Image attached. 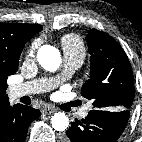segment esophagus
Listing matches in <instances>:
<instances>
[{
    "label": "esophagus",
    "mask_w": 142,
    "mask_h": 142,
    "mask_svg": "<svg viewBox=\"0 0 142 142\" xmlns=\"http://www.w3.org/2000/svg\"><path fill=\"white\" fill-rule=\"evenodd\" d=\"M56 111V109L55 108H53V107H51V106H46V107H44L43 109H42V114H44V115H49V114H52V113H54Z\"/></svg>",
    "instance_id": "34e87169"
}]
</instances>
